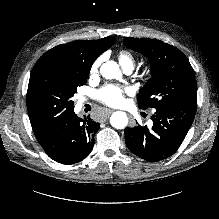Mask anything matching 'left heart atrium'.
<instances>
[{
  "label": "left heart atrium",
  "mask_w": 219,
  "mask_h": 219,
  "mask_svg": "<svg viewBox=\"0 0 219 219\" xmlns=\"http://www.w3.org/2000/svg\"><path fill=\"white\" fill-rule=\"evenodd\" d=\"M129 92L127 87L106 84L97 91V97L101 103L107 106H119L124 102V95Z\"/></svg>",
  "instance_id": "left-heart-atrium-1"
}]
</instances>
